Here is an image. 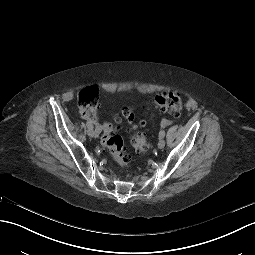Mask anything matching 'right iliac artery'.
Wrapping results in <instances>:
<instances>
[{"label": "right iliac artery", "instance_id": "right-iliac-artery-1", "mask_svg": "<svg viewBox=\"0 0 255 255\" xmlns=\"http://www.w3.org/2000/svg\"><path fill=\"white\" fill-rule=\"evenodd\" d=\"M86 125H87V127H88V128H93L92 123H91V122H89V121L86 123Z\"/></svg>", "mask_w": 255, "mask_h": 255}]
</instances>
